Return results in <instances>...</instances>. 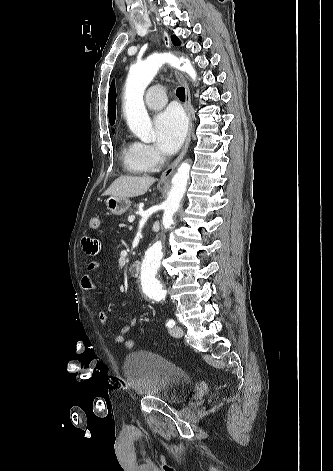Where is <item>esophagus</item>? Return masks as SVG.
<instances>
[{
    "mask_svg": "<svg viewBox=\"0 0 333 471\" xmlns=\"http://www.w3.org/2000/svg\"><path fill=\"white\" fill-rule=\"evenodd\" d=\"M161 32H162V38H163V42H164L165 47L167 49H170L171 48V40H170L169 33L166 30H161ZM175 76H176L177 80L179 81V83L185 89L186 100H185L184 107H185L186 113L188 115L189 127H188V134H187L183 149H182L181 153L179 154V156L174 160V162L162 173V175L160 177V180L162 182H165L170 178V176L174 172L175 168L178 166V164L181 162V160L185 156V154L188 150L190 141H191V135H192V130H193V117H192V114H191V95H190L189 86H188L187 81H186V79L184 78V76L181 72L176 70L175 71Z\"/></svg>",
    "mask_w": 333,
    "mask_h": 471,
    "instance_id": "obj_1",
    "label": "esophagus"
}]
</instances>
